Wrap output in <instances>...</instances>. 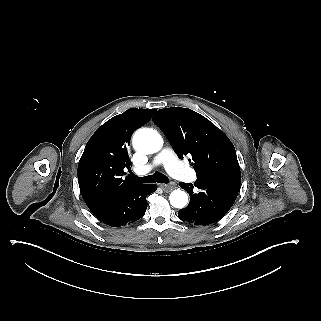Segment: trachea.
Instances as JSON below:
<instances>
[{
  "label": "trachea",
  "mask_w": 321,
  "mask_h": 321,
  "mask_svg": "<svg viewBox=\"0 0 321 321\" xmlns=\"http://www.w3.org/2000/svg\"><path fill=\"white\" fill-rule=\"evenodd\" d=\"M131 178H133L135 181L140 183H168L169 179L162 173L155 172L153 175L145 176V177H138L134 175L133 173H130L129 175Z\"/></svg>",
  "instance_id": "3493384b"
}]
</instances>
